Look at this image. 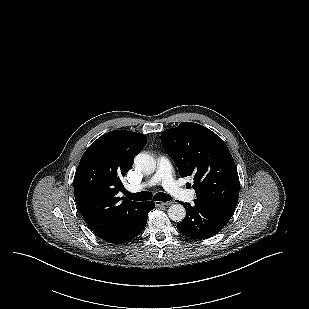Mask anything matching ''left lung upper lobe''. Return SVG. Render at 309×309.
Returning a JSON list of instances; mask_svg holds the SVG:
<instances>
[{
    "mask_svg": "<svg viewBox=\"0 0 309 309\" xmlns=\"http://www.w3.org/2000/svg\"><path fill=\"white\" fill-rule=\"evenodd\" d=\"M166 153L182 177L192 176L196 199L233 213L239 196V177L223 140L206 127L183 122L161 134Z\"/></svg>",
    "mask_w": 309,
    "mask_h": 309,
    "instance_id": "5c2ea615",
    "label": "left lung upper lobe"
}]
</instances>
